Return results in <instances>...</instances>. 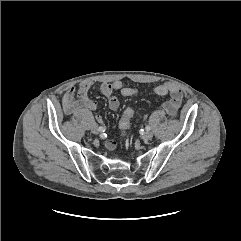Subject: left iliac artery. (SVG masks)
Masks as SVG:
<instances>
[{"label":"left iliac artery","mask_w":241,"mask_h":241,"mask_svg":"<svg viewBox=\"0 0 241 241\" xmlns=\"http://www.w3.org/2000/svg\"><path fill=\"white\" fill-rule=\"evenodd\" d=\"M151 127L150 126H146V130L150 131Z\"/></svg>","instance_id":"obj_1"}]
</instances>
